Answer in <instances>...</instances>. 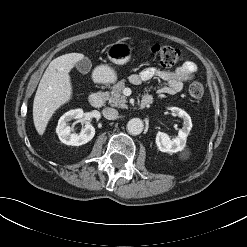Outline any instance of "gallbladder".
Masks as SVG:
<instances>
[{
    "mask_svg": "<svg viewBox=\"0 0 247 247\" xmlns=\"http://www.w3.org/2000/svg\"><path fill=\"white\" fill-rule=\"evenodd\" d=\"M92 67V62L90 59L88 58H83L82 60H80L77 64H76V68L77 70L82 73V74H86L90 71Z\"/></svg>",
    "mask_w": 247,
    "mask_h": 247,
    "instance_id": "bac80fb5",
    "label": "gallbladder"
}]
</instances>
